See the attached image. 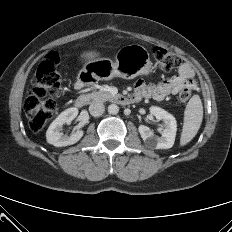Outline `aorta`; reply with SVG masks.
I'll list each match as a JSON object with an SVG mask.
<instances>
[{
    "mask_svg": "<svg viewBox=\"0 0 232 232\" xmlns=\"http://www.w3.org/2000/svg\"><path fill=\"white\" fill-rule=\"evenodd\" d=\"M108 112L112 115H116L119 112V107L116 104H110L108 106Z\"/></svg>",
    "mask_w": 232,
    "mask_h": 232,
    "instance_id": "aorta-1",
    "label": "aorta"
}]
</instances>
